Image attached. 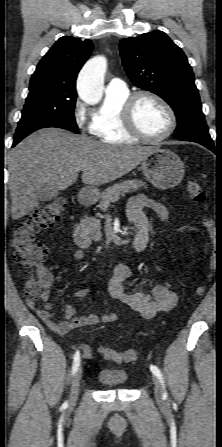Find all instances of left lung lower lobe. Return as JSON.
Instances as JSON below:
<instances>
[{
    "label": "left lung lower lobe",
    "instance_id": "obj_1",
    "mask_svg": "<svg viewBox=\"0 0 222 447\" xmlns=\"http://www.w3.org/2000/svg\"><path fill=\"white\" fill-rule=\"evenodd\" d=\"M199 144H202L203 146L207 147L208 149H210L211 151H213L215 153L214 143L202 142V143H199Z\"/></svg>",
    "mask_w": 222,
    "mask_h": 447
}]
</instances>
